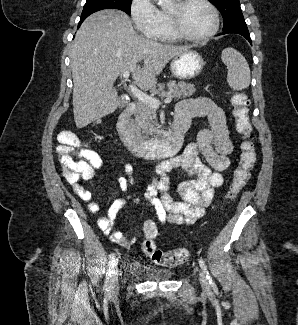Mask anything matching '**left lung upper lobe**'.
<instances>
[{
  "mask_svg": "<svg viewBox=\"0 0 298 325\" xmlns=\"http://www.w3.org/2000/svg\"><path fill=\"white\" fill-rule=\"evenodd\" d=\"M219 8L223 16V29L245 22L239 0H210Z\"/></svg>",
  "mask_w": 298,
  "mask_h": 325,
  "instance_id": "obj_1",
  "label": "left lung upper lobe"
}]
</instances>
